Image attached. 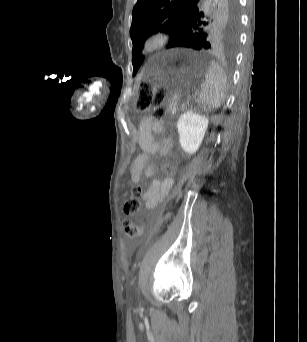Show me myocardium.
<instances>
[{"label": "myocardium", "mask_w": 307, "mask_h": 342, "mask_svg": "<svg viewBox=\"0 0 307 342\" xmlns=\"http://www.w3.org/2000/svg\"><path fill=\"white\" fill-rule=\"evenodd\" d=\"M173 39L174 32L169 26H156L144 38L142 51L146 55H154L170 46Z\"/></svg>", "instance_id": "1"}]
</instances>
